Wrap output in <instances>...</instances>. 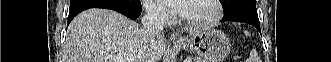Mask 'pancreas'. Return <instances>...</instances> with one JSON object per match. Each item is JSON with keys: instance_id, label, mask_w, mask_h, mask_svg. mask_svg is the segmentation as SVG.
I'll list each match as a JSON object with an SVG mask.
<instances>
[{"instance_id": "cf45deb5", "label": "pancreas", "mask_w": 331, "mask_h": 62, "mask_svg": "<svg viewBox=\"0 0 331 62\" xmlns=\"http://www.w3.org/2000/svg\"><path fill=\"white\" fill-rule=\"evenodd\" d=\"M193 62H203V60H201V58L195 57L193 58Z\"/></svg>"}]
</instances>
